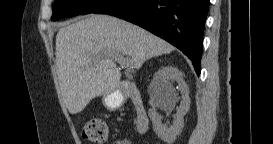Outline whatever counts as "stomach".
I'll return each instance as SVG.
<instances>
[{
	"mask_svg": "<svg viewBox=\"0 0 273 144\" xmlns=\"http://www.w3.org/2000/svg\"><path fill=\"white\" fill-rule=\"evenodd\" d=\"M103 105L108 110H116L121 107L124 102V96L119 90H115L103 96Z\"/></svg>",
	"mask_w": 273,
	"mask_h": 144,
	"instance_id": "stomach-1",
	"label": "stomach"
}]
</instances>
